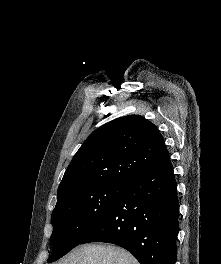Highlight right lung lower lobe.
Segmentation results:
<instances>
[{"label":"right lung lower lobe","mask_w":221,"mask_h":264,"mask_svg":"<svg viewBox=\"0 0 221 264\" xmlns=\"http://www.w3.org/2000/svg\"><path fill=\"white\" fill-rule=\"evenodd\" d=\"M179 201L171 163L125 184L113 208L81 242L128 250L141 264H175Z\"/></svg>","instance_id":"right-lung-lower-lobe-1"}]
</instances>
